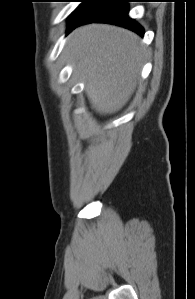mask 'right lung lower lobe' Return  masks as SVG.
Returning <instances> with one entry per match:
<instances>
[{
  "instance_id": "98d812e1",
  "label": "right lung lower lobe",
  "mask_w": 195,
  "mask_h": 299,
  "mask_svg": "<svg viewBox=\"0 0 195 299\" xmlns=\"http://www.w3.org/2000/svg\"><path fill=\"white\" fill-rule=\"evenodd\" d=\"M127 2L128 0H96L79 20L69 26V31L82 24L99 22L122 26L143 36L144 29L127 15Z\"/></svg>"
}]
</instances>
